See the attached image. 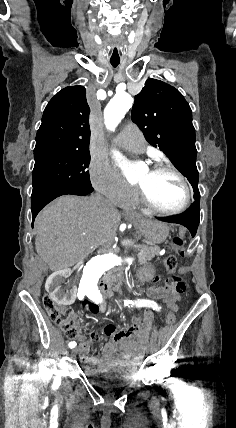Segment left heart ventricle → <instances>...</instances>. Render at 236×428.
Returning a JSON list of instances; mask_svg holds the SVG:
<instances>
[{
  "instance_id": "obj_1",
  "label": "left heart ventricle",
  "mask_w": 236,
  "mask_h": 428,
  "mask_svg": "<svg viewBox=\"0 0 236 428\" xmlns=\"http://www.w3.org/2000/svg\"><path fill=\"white\" fill-rule=\"evenodd\" d=\"M131 181L146 187L151 198L162 208L174 209L185 198L182 182L169 172L151 174L148 168L138 172Z\"/></svg>"
}]
</instances>
